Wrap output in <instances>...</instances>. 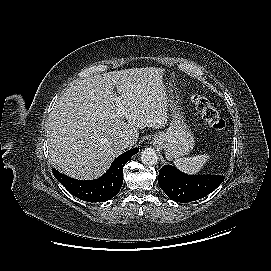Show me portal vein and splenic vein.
Here are the masks:
<instances>
[{
	"label": "portal vein and splenic vein",
	"instance_id": "portal-vein-and-splenic-vein-1",
	"mask_svg": "<svg viewBox=\"0 0 271 271\" xmlns=\"http://www.w3.org/2000/svg\"><path fill=\"white\" fill-rule=\"evenodd\" d=\"M115 100L119 103L120 102V97H116ZM123 115V111L119 108L117 111V116L121 117Z\"/></svg>",
	"mask_w": 271,
	"mask_h": 271
}]
</instances>
